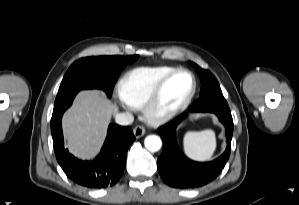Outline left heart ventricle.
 Listing matches in <instances>:
<instances>
[{
	"label": "left heart ventricle",
	"instance_id": "1",
	"mask_svg": "<svg viewBox=\"0 0 299 205\" xmlns=\"http://www.w3.org/2000/svg\"><path fill=\"white\" fill-rule=\"evenodd\" d=\"M191 89V79L187 74L176 76L165 88L161 108L167 109L179 104Z\"/></svg>",
	"mask_w": 299,
	"mask_h": 205
}]
</instances>
